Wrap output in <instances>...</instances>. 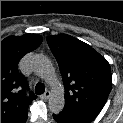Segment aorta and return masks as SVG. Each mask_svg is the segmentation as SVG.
I'll list each match as a JSON object with an SVG mask.
<instances>
[{
	"label": "aorta",
	"mask_w": 123,
	"mask_h": 123,
	"mask_svg": "<svg viewBox=\"0 0 123 123\" xmlns=\"http://www.w3.org/2000/svg\"><path fill=\"white\" fill-rule=\"evenodd\" d=\"M32 67L34 72L51 87L49 110L54 114L60 113L65 106L64 87L55 73L51 60L43 54H37L33 58Z\"/></svg>",
	"instance_id": "aorta-1"
}]
</instances>
